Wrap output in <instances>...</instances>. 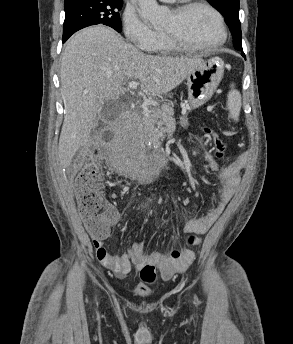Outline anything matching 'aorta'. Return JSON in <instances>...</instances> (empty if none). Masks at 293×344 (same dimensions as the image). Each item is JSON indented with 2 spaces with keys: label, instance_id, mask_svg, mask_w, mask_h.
Segmentation results:
<instances>
[{
  "label": "aorta",
  "instance_id": "aorta-1",
  "mask_svg": "<svg viewBox=\"0 0 293 344\" xmlns=\"http://www.w3.org/2000/svg\"><path fill=\"white\" fill-rule=\"evenodd\" d=\"M140 16L144 21L150 22L154 27L164 23L167 15V8L160 6L156 0H138Z\"/></svg>",
  "mask_w": 293,
  "mask_h": 344
}]
</instances>
